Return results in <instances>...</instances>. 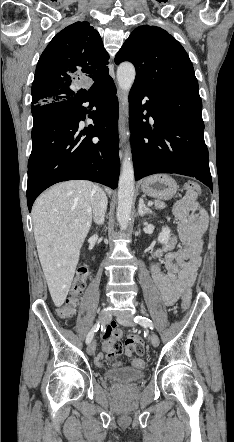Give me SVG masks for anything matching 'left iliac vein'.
Returning <instances> with one entry per match:
<instances>
[{"label": "left iliac vein", "mask_w": 234, "mask_h": 442, "mask_svg": "<svg viewBox=\"0 0 234 442\" xmlns=\"http://www.w3.org/2000/svg\"><path fill=\"white\" fill-rule=\"evenodd\" d=\"M117 321L124 326H134V324H135L133 317L127 313H123V314L118 315ZM150 341L154 347H157L160 342L158 335L154 332H151V334H150Z\"/></svg>", "instance_id": "obj_1"}]
</instances>
